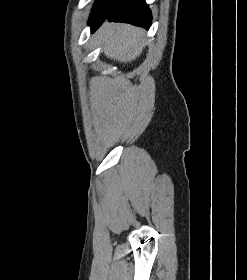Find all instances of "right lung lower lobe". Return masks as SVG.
<instances>
[{
    "mask_svg": "<svg viewBox=\"0 0 247 280\" xmlns=\"http://www.w3.org/2000/svg\"><path fill=\"white\" fill-rule=\"evenodd\" d=\"M105 19L109 22H125L149 29L152 15L145 0H114L101 18L89 22L92 33Z\"/></svg>",
    "mask_w": 247,
    "mask_h": 280,
    "instance_id": "98d812e1",
    "label": "right lung lower lobe"
}]
</instances>
